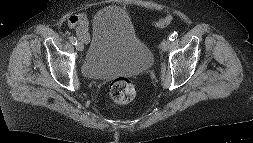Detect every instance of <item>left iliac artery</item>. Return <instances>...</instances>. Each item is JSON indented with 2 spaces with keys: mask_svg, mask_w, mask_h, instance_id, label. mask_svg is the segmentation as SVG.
<instances>
[{
  "mask_svg": "<svg viewBox=\"0 0 253 143\" xmlns=\"http://www.w3.org/2000/svg\"><path fill=\"white\" fill-rule=\"evenodd\" d=\"M178 33L176 31H174L170 36H169V40L170 41H174L177 39Z\"/></svg>",
  "mask_w": 253,
  "mask_h": 143,
  "instance_id": "left-iliac-artery-1",
  "label": "left iliac artery"
}]
</instances>
